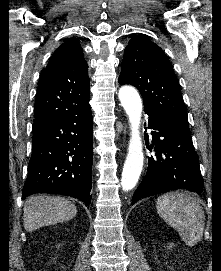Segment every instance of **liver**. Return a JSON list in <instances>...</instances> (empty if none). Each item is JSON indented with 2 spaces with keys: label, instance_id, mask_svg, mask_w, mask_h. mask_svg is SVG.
<instances>
[{
  "label": "liver",
  "instance_id": "liver-1",
  "mask_svg": "<svg viewBox=\"0 0 221 271\" xmlns=\"http://www.w3.org/2000/svg\"><path fill=\"white\" fill-rule=\"evenodd\" d=\"M77 213L73 201L59 195H33L24 205V229L33 231L44 225H53L73 219Z\"/></svg>",
  "mask_w": 221,
  "mask_h": 271
}]
</instances>
